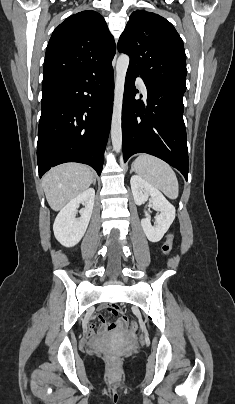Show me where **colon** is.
<instances>
[{
    "label": "colon",
    "mask_w": 235,
    "mask_h": 404,
    "mask_svg": "<svg viewBox=\"0 0 235 404\" xmlns=\"http://www.w3.org/2000/svg\"><path fill=\"white\" fill-rule=\"evenodd\" d=\"M173 234L170 233L167 235L166 240L164 241L163 245H162V252L165 255H169L172 249V245H173ZM106 311H108L110 314L112 315H117L118 314V309L117 308H113V307H109L106 308ZM106 326L108 329H115V328H122V327H128L129 331L131 332H135L138 329V324L135 321H131L130 323H128V320L126 317H121L118 318L116 321H108L106 322Z\"/></svg>",
    "instance_id": "5ec220e1"
}]
</instances>
